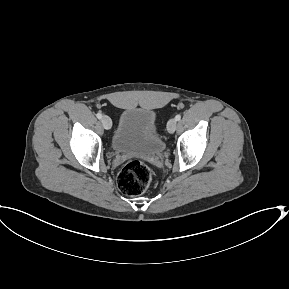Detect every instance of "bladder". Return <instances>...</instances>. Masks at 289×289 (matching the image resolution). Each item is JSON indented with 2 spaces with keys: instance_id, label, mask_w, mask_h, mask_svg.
I'll return each mask as SVG.
<instances>
[{
  "instance_id": "obj_1",
  "label": "bladder",
  "mask_w": 289,
  "mask_h": 289,
  "mask_svg": "<svg viewBox=\"0 0 289 289\" xmlns=\"http://www.w3.org/2000/svg\"><path fill=\"white\" fill-rule=\"evenodd\" d=\"M110 144L115 152L143 157L161 156L166 148L155 113L140 107L121 113Z\"/></svg>"
}]
</instances>
